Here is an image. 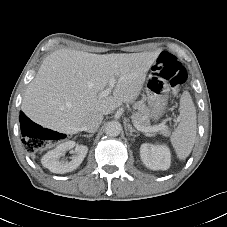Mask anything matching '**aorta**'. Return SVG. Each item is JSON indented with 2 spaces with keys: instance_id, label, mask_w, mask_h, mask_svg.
Listing matches in <instances>:
<instances>
[{
  "instance_id": "obj_1",
  "label": "aorta",
  "mask_w": 227,
  "mask_h": 227,
  "mask_svg": "<svg viewBox=\"0 0 227 227\" xmlns=\"http://www.w3.org/2000/svg\"><path fill=\"white\" fill-rule=\"evenodd\" d=\"M122 131V126L118 121H110L105 125V133L108 136H118Z\"/></svg>"
}]
</instances>
